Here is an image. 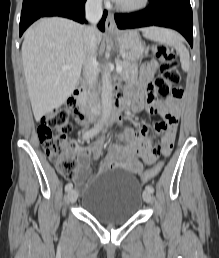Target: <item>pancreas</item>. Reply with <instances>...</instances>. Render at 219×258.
Listing matches in <instances>:
<instances>
[{
    "mask_svg": "<svg viewBox=\"0 0 219 258\" xmlns=\"http://www.w3.org/2000/svg\"><path fill=\"white\" fill-rule=\"evenodd\" d=\"M123 67V70L120 72V76L125 80L134 79L138 75V66L128 60L119 61L117 63Z\"/></svg>",
    "mask_w": 219,
    "mask_h": 258,
    "instance_id": "1",
    "label": "pancreas"
}]
</instances>
